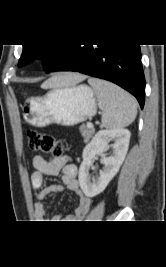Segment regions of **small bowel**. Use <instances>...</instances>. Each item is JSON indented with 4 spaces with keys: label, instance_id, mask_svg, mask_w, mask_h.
Here are the masks:
<instances>
[{
    "label": "small bowel",
    "instance_id": "small-bowel-1",
    "mask_svg": "<svg viewBox=\"0 0 166 267\" xmlns=\"http://www.w3.org/2000/svg\"><path fill=\"white\" fill-rule=\"evenodd\" d=\"M34 172L31 175V183L36 190L34 202V214L38 220H45L47 212L44 207V200L50 195L61 193L65 189L73 191L78 198V205L73 215L63 217L54 215L52 222H71L83 220L91 209V199L85 195L79 185L78 168L75 164L69 163L65 156L46 159L42 156L33 158ZM61 176V183L44 186L46 176Z\"/></svg>",
    "mask_w": 166,
    "mask_h": 267
}]
</instances>
